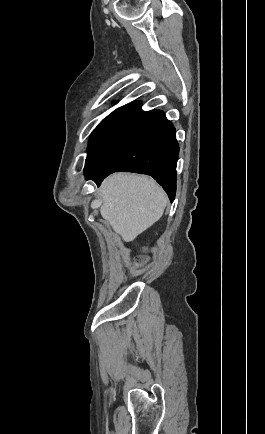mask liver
<instances>
[{"label": "liver", "instance_id": "liver-1", "mask_svg": "<svg viewBox=\"0 0 265 434\" xmlns=\"http://www.w3.org/2000/svg\"><path fill=\"white\" fill-rule=\"evenodd\" d=\"M100 214L124 242L158 222L164 214L167 196L161 186L147 176L113 174L104 180L100 194Z\"/></svg>", "mask_w": 265, "mask_h": 434}]
</instances>
